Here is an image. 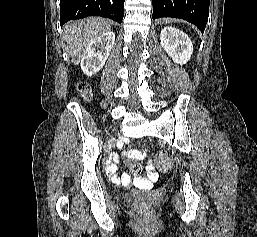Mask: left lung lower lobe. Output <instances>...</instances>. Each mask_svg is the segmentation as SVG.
I'll list each match as a JSON object with an SVG mask.
<instances>
[{
	"label": "left lung lower lobe",
	"mask_w": 257,
	"mask_h": 237,
	"mask_svg": "<svg viewBox=\"0 0 257 237\" xmlns=\"http://www.w3.org/2000/svg\"><path fill=\"white\" fill-rule=\"evenodd\" d=\"M209 0H153V19L172 17L196 25L203 33L208 21Z\"/></svg>",
	"instance_id": "1"
}]
</instances>
